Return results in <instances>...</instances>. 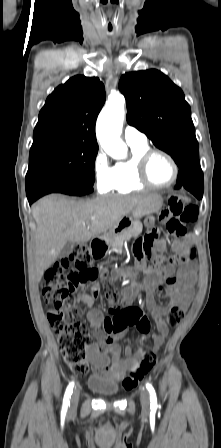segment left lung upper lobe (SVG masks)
I'll return each mask as SVG.
<instances>
[{
    "mask_svg": "<svg viewBox=\"0 0 221 448\" xmlns=\"http://www.w3.org/2000/svg\"><path fill=\"white\" fill-rule=\"evenodd\" d=\"M119 89L127 102V122L167 152L181 169L200 166L191 109L182 90L162 72L124 74Z\"/></svg>",
    "mask_w": 221,
    "mask_h": 448,
    "instance_id": "1",
    "label": "left lung upper lobe"
}]
</instances>
